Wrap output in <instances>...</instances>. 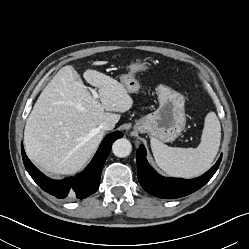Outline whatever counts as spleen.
<instances>
[{
  "instance_id": "obj_1",
  "label": "spleen",
  "mask_w": 249,
  "mask_h": 249,
  "mask_svg": "<svg viewBox=\"0 0 249 249\" xmlns=\"http://www.w3.org/2000/svg\"><path fill=\"white\" fill-rule=\"evenodd\" d=\"M220 140V122L214 112H209L197 148L169 147L155 138L150 143L155 162L161 170L171 176L193 178L210 168L218 153Z\"/></svg>"
}]
</instances>
